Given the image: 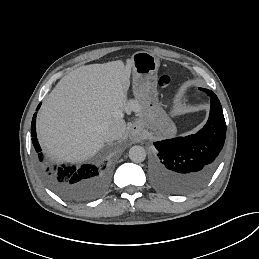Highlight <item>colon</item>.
Segmentation results:
<instances>
[{
    "label": "colon",
    "mask_w": 259,
    "mask_h": 259,
    "mask_svg": "<svg viewBox=\"0 0 259 259\" xmlns=\"http://www.w3.org/2000/svg\"><path fill=\"white\" fill-rule=\"evenodd\" d=\"M172 79L168 75H163L159 78V86L164 90L165 93L171 92Z\"/></svg>",
    "instance_id": "colon-1"
}]
</instances>
